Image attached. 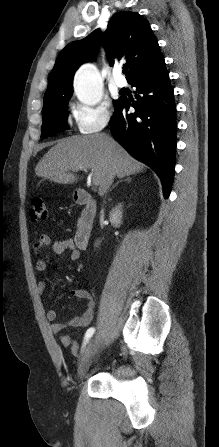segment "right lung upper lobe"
<instances>
[{
  "label": "right lung upper lobe",
  "instance_id": "right-lung-upper-lobe-1",
  "mask_svg": "<svg viewBox=\"0 0 219 447\" xmlns=\"http://www.w3.org/2000/svg\"><path fill=\"white\" fill-rule=\"evenodd\" d=\"M105 46L110 62H125L128 83L158 66L164 57L149 22L137 12L122 11L112 16L104 34L99 29L69 43L58 55L48 79L44 100L72 94V82L79 66L95 58L99 43Z\"/></svg>",
  "mask_w": 219,
  "mask_h": 447
}]
</instances>
